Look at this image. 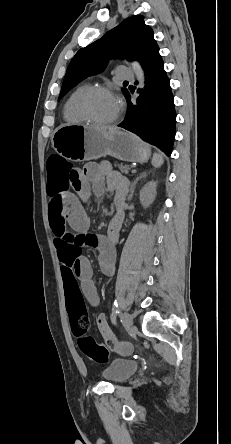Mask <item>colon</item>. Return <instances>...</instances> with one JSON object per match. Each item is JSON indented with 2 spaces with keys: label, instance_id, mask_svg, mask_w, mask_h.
I'll use <instances>...</instances> for the list:
<instances>
[{
  "label": "colon",
  "instance_id": "colon-1",
  "mask_svg": "<svg viewBox=\"0 0 231 444\" xmlns=\"http://www.w3.org/2000/svg\"><path fill=\"white\" fill-rule=\"evenodd\" d=\"M47 172V190L53 207L62 200V194L70 188L71 180L78 176V170L64 158L52 155L47 161ZM66 300L72 332L78 340L80 350L89 360L105 363L110 350H122L116 340L107 341V345H104L88 335L90 318L81 294L68 293Z\"/></svg>",
  "mask_w": 231,
  "mask_h": 444
}]
</instances>
